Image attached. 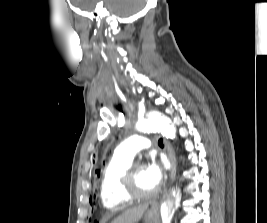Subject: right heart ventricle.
I'll return each instance as SVG.
<instances>
[{"label": "right heart ventricle", "mask_w": 267, "mask_h": 223, "mask_svg": "<svg viewBox=\"0 0 267 223\" xmlns=\"http://www.w3.org/2000/svg\"><path fill=\"white\" fill-rule=\"evenodd\" d=\"M132 164V160L122 159L113 155L104 169L100 197L103 206L109 212H114L130 203L122 191V177Z\"/></svg>", "instance_id": "1"}]
</instances>
